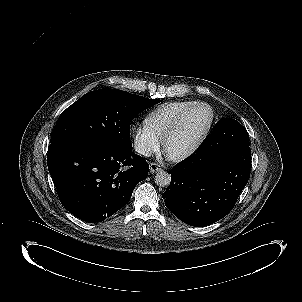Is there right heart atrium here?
<instances>
[{
	"instance_id": "1",
	"label": "right heart atrium",
	"mask_w": 302,
	"mask_h": 302,
	"mask_svg": "<svg viewBox=\"0 0 302 302\" xmlns=\"http://www.w3.org/2000/svg\"><path fill=\"white\" fill-rule=\"evenodd\" d=\"M136 143L138 150L142 153H148L158 148L159 142L156 137L149 132V130H137L136 131Z\"/></svg>"
}]
</instances>
